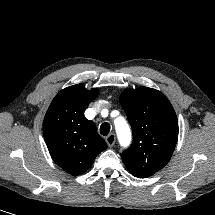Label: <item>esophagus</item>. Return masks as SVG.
<instances>
[{
    "instance_id": "1",
    "label": "esophagus",
    "mask_w": 215,
    "mask_h": 215,
    "mask_svg": "<svg viewBox=\"0 0 215 215\" xmlns=\"http://www.w3.org/2000/svg\"><path fill=\"white\" fill-rule=\"evenodd\" d=\"M116 141V136L115 134L111 133L106 137V142L109 147H113Z\"/></svg>"
}]
</instances>
